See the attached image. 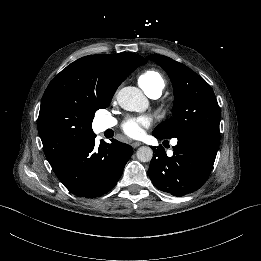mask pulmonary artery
Segmentation results:
<instances>
[{"label": "pulmonary artery", "instance_id": "pulmonary-artery-1", "mask_svg": "<svg viewBox=\"0 0 261 261\" xmlns=\"http://www.w3.org/2000/svg\"><path fill=\"white\" fill-rule=\"evenodd\" d=\"M161 95L160 92H152L151 94H149L148 96L151 98V99H157L159 98ZM117 124V120L114 119V118H110V119H107L106 122H105V125L108 127V128H111V127H114L115 125ZM171 144L172 145H176L177 144V139L174 138L172 141H171Z\"/></svg>", "mask_w": 261, "mask_h": 261}]
</instances>
